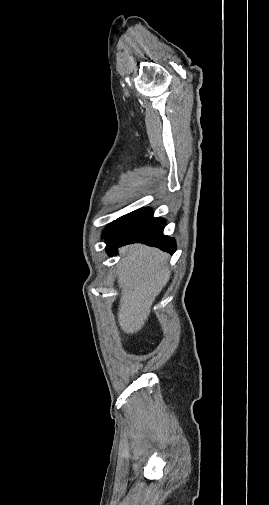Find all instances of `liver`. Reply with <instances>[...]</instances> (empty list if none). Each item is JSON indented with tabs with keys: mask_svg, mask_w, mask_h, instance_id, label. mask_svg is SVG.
I'll return each instance as SVG.
<instances>
[{
	"mask_svg": "<svg viewBox=\"0 0 269 505\" xmlns=\"http://www.w3.org/2000/svg\"><path fill=\"white\" fill-rule=\"evenodd\" d=\"M118 284L122 289L118 311L121 329L137 333L145 325L155 298L170 279L169 255L142 244L120 249Z\"/></svg>",
	"mask_w": 269,
	"mask_h": 505,
	"instance_id": "liver-1",
	"label": "liver"
}]
</instances>
